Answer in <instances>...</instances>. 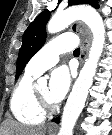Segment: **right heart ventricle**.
<instances>
[{"label":"right heart ventricle","mask_w":112,"mask_h":135,"mask_svg":"<svg viewBox=\"0 0 112 135\" xmlns=\"http://www.w3.org/2000/svg\"><path fill=\"white\" fill-rule=\"evenodd\" d=\"M37 76L26 71L16 84L10 99L12 115L25 125L41 124L46 115L39 109L34 97V81Z\"/></svg>","instance_id":"right-heart-ventricle-1"}]
</instances>
